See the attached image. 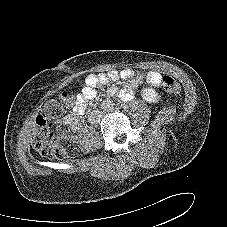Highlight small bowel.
<instances>
[{
  "mask_svg": "<svg viewBox=\"0 0 227 227\" xmlns=\"http://www.w3.org/2000/svg\"><path fill=\"white\" fill-rule=\"evenodd\" d=\"M119 80H130V82L120 90L116 87H110L108 90L109 94L111 96L119 94L122 99H131L133 96V89L137 85L146 81L147 83L156 86L160 84L162 75L156 71L140 72L132 69H124L121 71L112 70L100 74H88L85 79L84 87L76 96L72 114L67 115L64 118V122L69 125L73 131L79 130L87 103L93 100L97 95L96 88Z\"/></svg>",
  "mask_w": 227,
  "mask_h": 227,
  "instance_id": "c3829d8e",
  "label": "small bowel"
}]
</instances>
